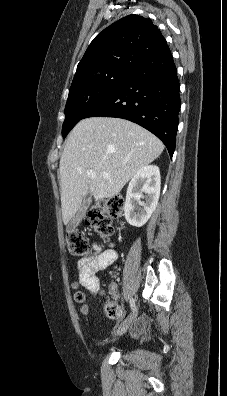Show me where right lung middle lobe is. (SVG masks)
<instances>
[{"label":"right lung middle lobe","instance_id":"obj_1","mask_svg":"<svg viewBox=\"0 0 227 396\" xmlns=\"http://www.w3.org/2000/svg\"><path fill=\"white\" fill-rule=\"evenodd\" d=\"M132 70L109 69L71 85L65 107L62 135H66L98 103L114 92Z\"/></svg>","mask_w":227,"mask_h":396}]
</instances>
